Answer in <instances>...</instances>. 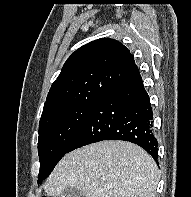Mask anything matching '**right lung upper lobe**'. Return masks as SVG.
Segmentation results:
<instances>
[{"mask_svg":"<svg viewBox=\"0 0 191 197\" xmlns=\"http://www.w3.org/2000/svg\"><path fill=\"white\" fill-rule=\"evenodd\" d=\"M138 74L122 43L110 38L92 41L65 62L49 90L41 120L66 108L98 102L111 87Z\"/></svg>","mask_w":191,"mask_h":197,"instance_id":"obj_1","label":"right lung upper lobe"}]
</instances>
